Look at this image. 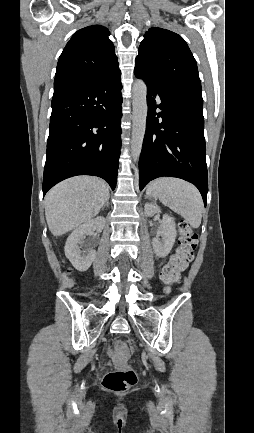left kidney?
<instances>
[{"label":"left kidney","instance_id":"left-kidney-1","mask_svg":"<svg viewBox=\"0 0 254 433\" xmlns=\"http://www.w3.org/2000/svg\"><path fill=\"white\" fill-rule=\"evenodd\" d=\"M144 211L146 216L152 217L156 213L160 212V208L156 204L146 203L144 206ZM160 228L161 230L159 236H161V239L159 236H156L152 240V245L156 256L159 258H164L170 253L175 243L177 232L174 219L165 214L161 221Z\"/></svg>","mask_w":254,"mask_h":433}]
</instances>
